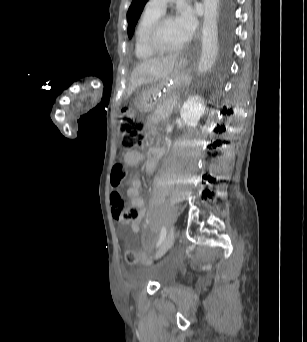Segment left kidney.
I'll return each mask as SVG.
<instances>
[{
  "mask_svg": "<svg viewBox=\"0 0 307 342\" xmlns=\"http://www.w3.org/2000/svg\"><path fill=\"white\" fill-rule=\"evenodd\" d=\"M206 106L198 96H190L186 102H184L180 110V118L183 124L186 126H191V128H196L202 118Z\"/></svg>",
  "mask_w": 307,
  "mask_h": 342,
  "instance_id": "obj_1",
  "label": "left kidney"
}]
</instances>
